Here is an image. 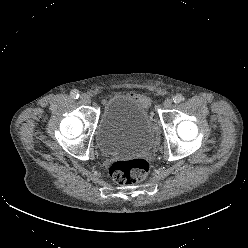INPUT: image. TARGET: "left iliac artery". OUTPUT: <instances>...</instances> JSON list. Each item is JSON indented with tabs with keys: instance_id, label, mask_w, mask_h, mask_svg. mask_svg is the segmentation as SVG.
Listing matches in <instances>:
<instances>
[{
	"instance_id": "1",
	"label": "left iliac artery",
	"mask_w": 248,
	"mask_h": 248,
	"mask_svg": "<svg viewBox=\"0 0 248 248\" xmlns=\"http://www.w3.org/2000/svg\"><path fill=\"white\" fill-rule=\"evenodd\" d=\"M184 100V96L182 94H177L176 96H174L173 101L174 103H180Z\"/></svg>"
}]
</instances>
